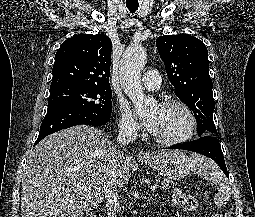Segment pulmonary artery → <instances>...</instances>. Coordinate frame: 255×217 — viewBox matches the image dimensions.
<instances>
[{"label":"pulmonary artery","instance_id":"pulmonary-artery-1","mask_svg":"<svg viewBox=\"0 0 255 217\" xmlns=\"http://www.w3.org/2000/svg\"><path fill=\"white\" fill-rule=\"evenodd\" d=\"M141 82L145 90L155 91L160 89L161 77L157 71L149 70L144 73Z\"/></svg>","mask_w":255,"mask_h":217}]
</instances>
